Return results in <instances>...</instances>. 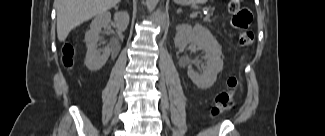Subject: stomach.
<instances>
[{
  "label": "stomach",
  "instance_id": "1",
  "mask_svg": "<svg viewBox=\"0 0 325 136\" xmlns=\"http://www.w3.org/2000/svg\"><path fill=\"white\" fill-rule=\"evenodd\" d=\"M175 2L181 5H196L206 2V0H175Z\"/></svg>",
  "mask_w": 325,
  "mask_h": 136
}]
</instances>
